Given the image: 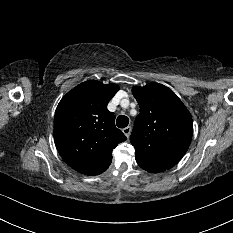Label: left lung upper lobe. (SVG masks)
Instances as JSON below:
<instances>
[{
  "instance_id": "left-lung-upper-lobe-1",
  "label": "left lung upper lobe",
  "mask_w": 233,
  "mask_h": 233,
  "mask_svg": "<svg viewBox=\"0 0 233 233\" xmlns=\"http://www.w3.org/2000/svg\"><path fill=\"white\" fill-rule=\"evenodd\" d=\"M132 93L140 107L130 137L135 158L163 169L172 168L192 139L190 112L171 89L159 83L135 86Z\"/></svg>"
}]
</instances>
